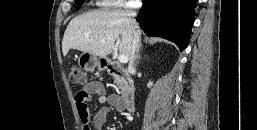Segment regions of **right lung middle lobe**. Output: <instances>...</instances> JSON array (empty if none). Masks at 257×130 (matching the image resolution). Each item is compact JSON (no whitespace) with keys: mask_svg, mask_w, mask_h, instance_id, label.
<instances>
[{"mask_svg":"<svg viewBox=\"0 0 257 130\" xmlns=\"http://www.w3.org/2000/svg\"><path fill=\"white\" fill-rule=\"evenodd\" d=\"M84 2V0H78L79 4H82Z\"/></svg>","mask_w":257,"mask_h":130,"instance_id":"obj_1","label":"right lung middle lobe"}]
</instances>
